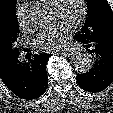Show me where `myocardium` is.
I'll use <instances>...</instances> for the list:
<instances>
[{"label": "myocardium", "mask_w": 113, "mask_h": 113, "mask_svg": "<svg viewBox=\"0 0 113 113\" xmlns=\"http://www.w3.org/2000/svg\"><path fill=\"white\" fill-rule=\"evenodd\" d=\"M65 3L66 0H56L53 5L54 11L58 14L60 18L65 17ZM80 11L75 20L72 23V26L79 27L86 19L88 13V4L86 0H79Z\"/></svg>", "instance_id": "obj_1"}]
</instances>
